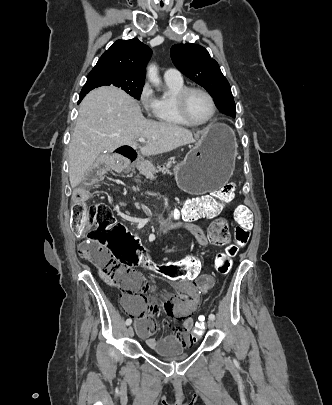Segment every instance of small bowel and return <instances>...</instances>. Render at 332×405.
<instances>
[{
    "label": "small bowel",
    "instance_id": "obj_1",
    "mask_svg": "<svg viewBox=\"0 0 332 405\" xmlns=\"http://www.w3.org/2000/svg\"><path fill=\"white\" fill-rule=\"evenodd\" d=\"M137 167L142 172H147L152 169V164L149 161L140 160ZM102 177V172H83L81 184L82 186H99ZM189 213L193 219L186 224V229L202 244L204 230L192 223L200 215L194 212ZM210 215L211 217L215 216L214 213H210ZM214 220H225V227H228L226 219L215 218ZM135 223L140 225V221ZM198 266L200 265L198 264ZM120 274V287L126 292L121 302L122 308L135 318L137 333L145 340L147 346L153 350H162L165 353H188L193 339L190 336L194 322L191 314L197 311L198 306L201 305V298L197 297V294H206L214 286V277L202 273V275H198V279L195 281L177 282L178 289H168L167 291L168 298L173 299L170 302H161L159 305L151 297L154 286L148 283L140 273L125 267L121 269ZM161 311H168L183 321L181 325L172 329V335L155 339L152 338L158 327L155 315Z\"/></svg>",
    "mask_w": 332,
    "mask_h": 405
}]
</instances>
